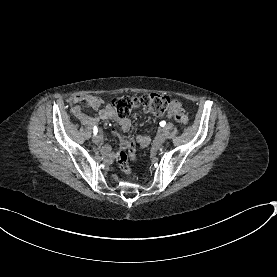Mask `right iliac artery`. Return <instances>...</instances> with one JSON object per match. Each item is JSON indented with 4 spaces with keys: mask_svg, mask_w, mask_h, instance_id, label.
Listing matches in <instances>:
<instances>
[{
    "mask_svg": "<svg viewBox=\"0 0 277 277\" xmlns=\"http://www.w3.org/2000/svg\"><path fill=\"white\" fill-rule=\"evenodd\" d=\"M97 132H98V128H97V126L95 125L94 128H93V133H94V135H96Z\"/></svg>",
    "mask_w": 277,
    "mask_h": 277,
    "instance_id": "1",
    "label": "right iliac artery"
}]
</instances>
